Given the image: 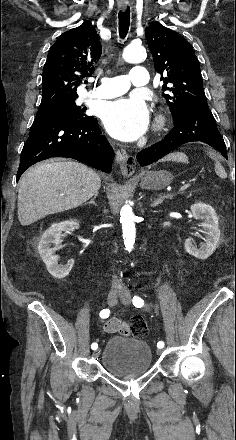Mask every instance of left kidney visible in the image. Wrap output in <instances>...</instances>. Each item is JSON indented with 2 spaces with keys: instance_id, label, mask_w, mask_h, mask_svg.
I'll list each match as a JSON object with an SVG mask.
<instances>
[{
  "instance_id": "5707ae66",
  "label": "left kidney",
  "mask_w": 236,
  "mask_h": 440,
  "mask_svg": "<svg viewBox=\"0 0 236 440\" xmlns=\"http://www.w3.org/2000/svg\"><path fill=\"white\" fill-rule=\"evenodd\" d=\"M191 211L196 220H202L199 226L205 238L199 249L194 245L193 239H186L185 250L190 255L205 260L213 254L220 240L218 216L213 207L201 202L191 205Z\"/></svg>"
}]
</instances>
